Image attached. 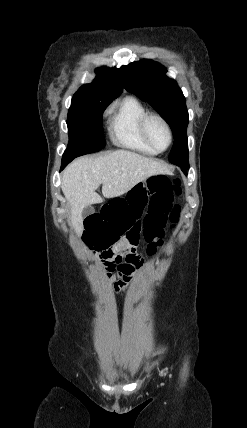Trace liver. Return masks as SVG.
<instances>
[{"label":"liver","mask_w":247,"mask_h":428,"mask_svg":"<svg viewBox=\"0 0 247 428\" xmlns=\"http://www.w3.org/2000/svg\"><path fill=\"white\" fill-rule=\"evenodd\" d=\"M167 173L170 170L162 162L128 150L73 161L63 173L61 188L70 205L75 231L82 230L83 209L103 202L96 192L101 184L103 196L113 198L127 193L150 176Z\"/></svg>","instance_id":"1"}]
</instances>
